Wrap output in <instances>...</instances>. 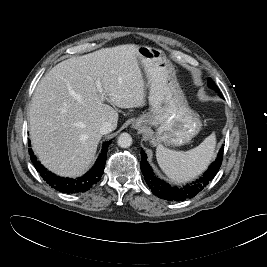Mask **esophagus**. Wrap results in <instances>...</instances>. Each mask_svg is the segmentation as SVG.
I'll use <instances>...</instances> for the list:
<instances>
[{"label": "esophagus", "mask_w": 267, "mask_h": 267, "mask_svg": "<svg viewBox=\"0 0 267 267\" xmlns=\"http://www.w3.org/2000/svg\"><path fill=\"white\" fill-rule=\"evenodd\" d=\"M132 127L136 130H140L142 128V123L139 121H136L133 123Z\"/></svg>", "instance_id": "obj_1"}]
</instances>
